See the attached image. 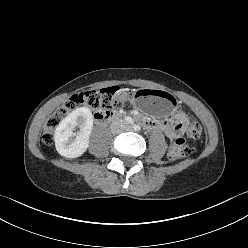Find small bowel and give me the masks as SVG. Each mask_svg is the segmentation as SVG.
I'll list each match as a JSON object with an SVG mask.
<instances>
[{"label": "small bowel", "instance_id": "c3829d8e", "mask_svg": "<svg viewBox=\"0 0 248 248\" xmlns=\"http://www.w3.org/2000/svg\"><path fill=\"white\" fill-rule=\"evenodd\" d=\"M188 122L189 118L183 111L177 112L171 121H154L150 119L143 121L148 129H161L169 138H177L182 135Z\"/></svg>", "mask_w": 248, "mask_h": 248}]
</instances>
